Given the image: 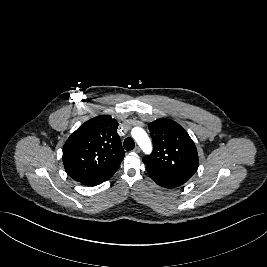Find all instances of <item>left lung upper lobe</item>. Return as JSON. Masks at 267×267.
<instances>
[{
    "mask_svg": "<svg viewBox=\"0 0 267 267\" xmlns=\"http://www.w3.org/2000/svg\"><path fill=\"white\" fill-rule=\"evenodd\" d=\"M153 151L143 162L150 170L189 180L198 168V153L193 140L176 122L161 118L148 124Z\"/></svg>",
    "mask_w": 267,
    "mask_h": 267,
    "instance_id": "1",
    "label": "left lung upper lobe"
}]
</instances>
